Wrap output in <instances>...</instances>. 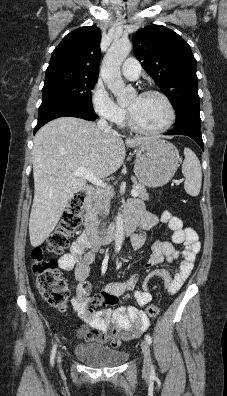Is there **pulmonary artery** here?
<instances>
[{
  "mask_svg": "<svg viewBox=\"0 0 227 396\" xmlns=\"http://www.w3.org/2000/svg\"><path fill=\"white\" fill-rule=\"evenodd\" d=\"M122 74L131 80H135L139 77L141 66L135 58H128L122 65Z\"/></svg>",
  "mask_w": 227,
  "mask_h": 396,
  "instance_id": "e3ab8cb5",
  "label": "pulmonary artery"
}]
</instances>
